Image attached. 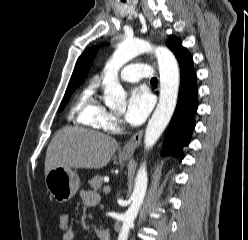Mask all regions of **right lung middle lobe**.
<instances>
[{
  "label": "right lung middle lobe",
  "instance_id": "dd1d6c3e",
  "mask_svg": "<svg viewBox=\"0 0 248 240\" xmlns=\"http://www.w3.org/2000/svg\"><path fill=\"white\" fill-rule=\"evenodd\" d=\"M81 82L80 81H70L69 82V85H68V88L65 92V95H64V98L62 100V103L59 107V110L58 111H61L64 106L66 105V103L68 102L72 92L77 88V86L80 84Z\"/></svg>",
  "mask_w": 248,
  "mask_h": 240
}]
</instances>
